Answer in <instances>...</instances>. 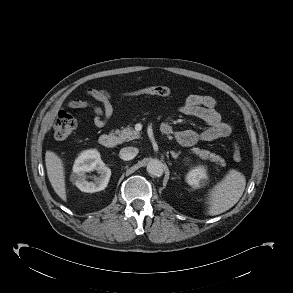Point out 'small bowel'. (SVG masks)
Wrapping results in <instances>:
<instances>
[{
  "instance_id": "c3829d8e",
  "label": "small bowel",
  "mask_w": 293,
  "mask_h": 293,
  "mask_svg": "<svg viewBox=\"0 0 293 293\" xmlns=\"http://www.w3.org/2000/svg\"><path fill=\"white\" fill-rule=\"evenodd\" d=\"M68 107L75 110L90 108L94 115L93 123L98 128L104 127L114 112L112 96L103 89H89L87 98H74L68 102ZM179 111L184 115L197 117L207 125L204 131L198 133L191 129L174 130L169 123H164L162 128L167 129L169 134H173L182 145L190 146L199 141H214L227 137L232 132V125L222 119L216 110L215 99L209 95H188Z\"/></svg>"
}]
</instances>
